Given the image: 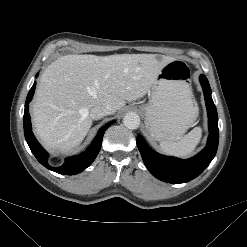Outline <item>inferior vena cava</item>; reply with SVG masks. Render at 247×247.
<instances>
[{"mask_svg":"<svg viewBox=\"0 0 247 247\" xmlns=\"http://www.w3.org/2000/svg\"><path fill=\"white\" fill-rule=\"evenodd\" d=\"M115 110L108 104H99L95 106L90 113V116L94 120H98L106 115L113 114Z\"/></svg>","mask_w":247,"mask_h":247,"instance_id":"obj_1","label":"inferior vena cava"}]
</instances>
